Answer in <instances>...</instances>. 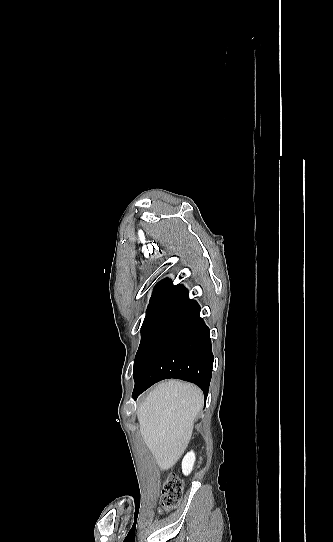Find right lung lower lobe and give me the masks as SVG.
I'll return each mask as SVG.
<instances>
[{"instance_id":"right-lung-lower-lobe-1","label":"right lung lower lobe","mask_w":333,"mask_h":542,"mask_svg":"<svg viewBox=\"0 0 333 542\" xmlns=\"http://www.w3.org/2000/svg\"><path fill=\"white\" fill-rule=\"evenodd\" d=\"M214 357L200 307L176 286L151 312L134 361L133 397L163 379L199 386L207 397Z\"/></svg>"}]
</instances>
